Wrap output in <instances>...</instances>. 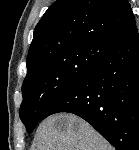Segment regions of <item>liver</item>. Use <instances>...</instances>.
I'll return each instance as SVG.
<instances>
[{
	"mask_svg": "<svg viewBox=\"0 0 139 150\" xmlns=\"http://www.w3.org/2000/svg\"><path fill=\"white\" fill-rule=\"evenodd\" d=\"M35 138L36 150H113L98 132L73 114L48 117Z\"/></svg>",
	"mask_w": 139,
	"mask_h": 150,
	"instance_id": "1",
	"label": "liver"
}]
</instances>
